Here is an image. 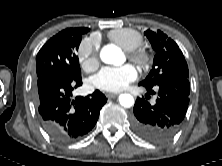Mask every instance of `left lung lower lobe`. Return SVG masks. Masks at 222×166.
I'll return each instance as SVG.
<instances>
[{
	"label": "left lung lower lobe",
	"instance_id": "left-lung-lower-lobe-1",
	"mask_svg": "<svg viewBox=\"0 0 222 166\" xmlns=\"http://www.w3.org/2000/svg\"><path fill=\"white\" fill-rule=\"evenodd\" d=\"M144 87L148 93L153 88ZM154 87L158 89L156 103L138 98L131 127L142 139L161 144L172 139L181 128L189 104L190 83L188 78H169Z\"/></svg>",
	"mask_w": 222,
	"mask_h": 166
}]
</instances>
